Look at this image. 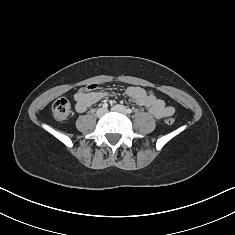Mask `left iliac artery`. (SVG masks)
Listing matches in <instances>:
<instances>
[{"mask_svg":"<svg viewBox=\"0 0 235 235\" xmlns=\"http://www.w3.org/2000/svg\"><path fill=\"white\" fill-rule=\"evenodd\" d=\"M126 113L130 114V113H132V110L130 108H127Z\"/></svg>","mask_w":235,"mask_h":235,"instance_id":"obj_1","label":"left iliac artery"}]
</instances>
